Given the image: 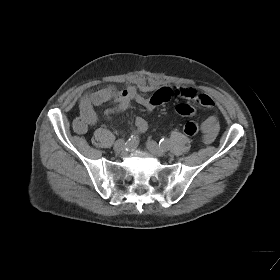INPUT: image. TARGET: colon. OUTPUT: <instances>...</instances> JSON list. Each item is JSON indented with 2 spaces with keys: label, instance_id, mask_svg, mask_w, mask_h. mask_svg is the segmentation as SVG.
<instances>
[{
  "label": "colon",
  "instance_id": "obj_1",
  "mask_svg": "<svg viewBox=\"0 0 280 280\" xmlns=\"http://www.w3.org/2000/svg\"><path fill=\"white\" fill-rule=\"evenodd\" d=\"M177 111L179 114L181 115H185V114H189L191 113V109L189 107V105L187 104H180L177 106ZM85 127V123L82 121V119L80 117H78L75 121H74V128L75 130H82ZM198 125L193 122L190 121L188 122L185 127H184V131L187 135L193 136L195 134L198 133Z\"/></svg>",
  "mask_w": 280,
  "mask_h": 280
}]
</instances>
